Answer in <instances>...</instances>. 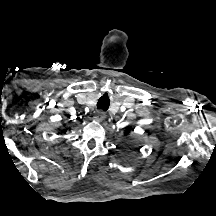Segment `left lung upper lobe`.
Wrapping results in <instances>:
<instances>
[{"mask_svg": "<svg viewBox=\"0 0 216 216\" xmlns=\"http://www.w3.org/2000/svg\"><path fill=\"white\" fill-rule=\"evenodd\" d=\"M131 129L129 127L126 128L124 135H128L130 133ZM137 149H135L134 147H130L128 154L132 153L133 151H136Z\"/></svg>", "mask_w": 216, "mask_h": 216, "instance_id": "left-lung-upper-lobe-1", "label": "left lung upper lobe"}]
</instances>
